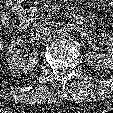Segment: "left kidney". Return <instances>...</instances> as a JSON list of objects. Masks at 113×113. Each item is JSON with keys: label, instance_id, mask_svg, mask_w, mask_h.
<instances>
[{"label": "left kidney", "instance_id": "left-kidney-1", "mask_svg": "<svg viewBox=\"0 0 113 113\" xmlns=\"http://www.w3.org/2000/svg\"><path fill=\"white\" fill-rule=\"evenodd\" d=\"M100 40L107 46V52L100 55L87 53L85 59L89 66H92L95 69H113V37L102 34Z\"/></svg>", "mask_w": 113, "mask_h": 113}]
</instances>
